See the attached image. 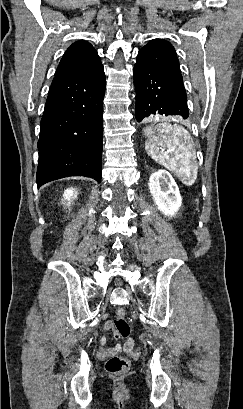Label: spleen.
<instances>
[{"mask_svg": "<svg viewBox=\"0 0 243 409\" xmlns=\"http://www.w3.org/2000/svg\"><path fill=\"white\" fill-rule=\"evenodd\" d=\"M156 135L145 143L148 155L176 174L180 181L191 186L197 178L198 166L193 140L189 132L177 124L163 122L155 126ZM161 147V150L159 149ZM167 149V152L164 150Z\"/></svg>", "mask_w": 243, "mask_h": 409, "instance_id": "obj_1", "label": "spleen"}]
</instances>
